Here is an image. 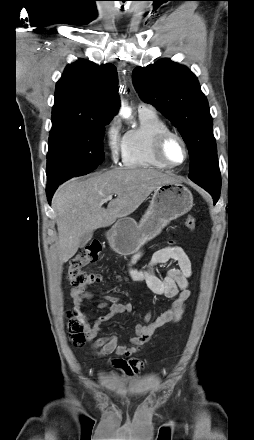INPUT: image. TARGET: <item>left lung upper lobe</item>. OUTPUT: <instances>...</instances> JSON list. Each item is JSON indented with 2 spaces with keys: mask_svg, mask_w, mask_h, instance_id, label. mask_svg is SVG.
<instances>
[{
  "mask_svg": "<svg viewBox=\"0 0 254 440\" xmlns=\"http://www.w3.org/2000/svg\"><path fill=\"white\" fill-rule=\"evenodd\" d=\"M132 77L142 100L160 110L182 135L190 156L188 177L214 200L219 199L221 176L212 117L196 76L188 68L162 59L136 67Z\"/></svg>",
  "mask_w": 254,
  "mask_h": 440,
  "instance_id": "1",
  "label": "left lung upper lobe"
}]
</instances>
